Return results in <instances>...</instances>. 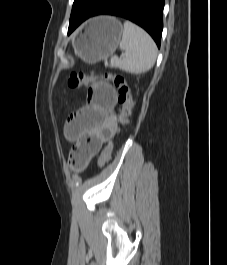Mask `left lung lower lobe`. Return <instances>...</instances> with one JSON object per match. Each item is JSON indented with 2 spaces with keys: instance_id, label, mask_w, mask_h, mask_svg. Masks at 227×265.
<instances>
[{
  "instance_id": "left-lung-lower-lobe-1",
  "label": "left lung lower lobe",
  "mask_w": 227,
  "mask_h": 265,
  "mask_svg": "<svg viewBox=\"0 0 227 265\" xmlns=\"http://www.w3.org/2000/svg\"><path fill=\"white\" fill-rule=\"evenodd\" d=\"M163 8L164 0H105L88 18L101 14L126 18L144 28L160 47ZM84 20L72 25L68 35Z\"/></svg>"
}]
</instances>
